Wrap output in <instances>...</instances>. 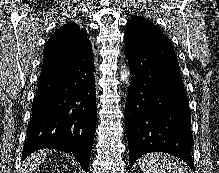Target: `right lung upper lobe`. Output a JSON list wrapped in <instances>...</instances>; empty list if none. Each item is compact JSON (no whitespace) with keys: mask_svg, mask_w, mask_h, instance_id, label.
Instances as JSON below:
<instances>
[{"mask_svg":"<svg viewBox=\"0 0 219 173\" xmlns=\"http://www.w3.org/2000/svg\"><path fill=\"white\" fill-rule=\"evenodd\" d=\"M85 29L73 22L59 28L44 46V61L64 65L75 56H92L91 42Z\"/></svg>","mask_w":219,"mask_h":173,"instance_id":"obj_1","label":"right lung upper lobe"}]
</instances>
